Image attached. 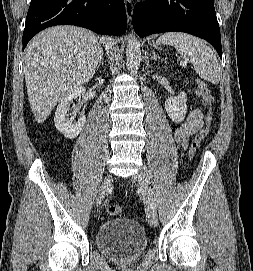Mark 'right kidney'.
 I'll use <instances>...</instances> for the list:
<instances>
[{
    "label": "right kidney",
    "instance_id": "obj_1",
    "mask_svg": "<svg viewBox=\"0 0 253 271\" xmlns=\"http://www.w3.org/2000/svg\"><path fill=\"white\" fill-rule=\"evenodd\" d=\"M85 92V87L74 88L65 95L57 106L54 117L55 127L68 139L77 137L85 125L86 117L84 115H82L76 123L73 122V117H69L70 103L73 99L84 95Z\"/></svg>",
    "mask_w": 253,
    "mask_h": 271
}]
</instances>
